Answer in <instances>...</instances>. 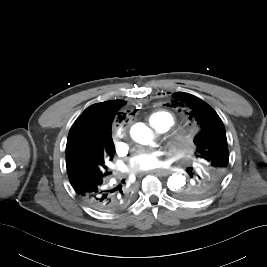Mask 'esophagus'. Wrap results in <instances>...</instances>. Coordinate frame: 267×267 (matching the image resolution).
I'll return each mask as SVG.
<instances>
[{"mask_svg": "<svg viewBox=\"0 0 267 267\" xmlns=\"http://www.w3.org/2000/svg\"><path fill=\"white\" fill-rule=\"evenodd\" d=\"M152 173H155L160 176H168L171 174V171L167 169H155L152 171Z\"/></svg>", "mask_w": 267, "mask_h": 267, "instance_id": "1", "label": "esophagus"}]
</instances>
